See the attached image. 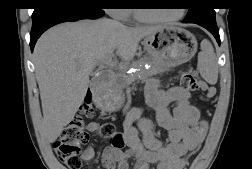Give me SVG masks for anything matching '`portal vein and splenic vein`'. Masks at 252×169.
I'll return each instance as SVG.
<instances>
[{"label":"portal vein and splenic vein","mask_w":252,"mask_h":169,"mask_svg":"<svg viewBox=\"0 0 252 169\" xmlns=\"http://www.w3.org/2000/svg\"><path fill=\"white\" fill-rule=\"evenodd\" d=\"M100 63H101V64L108 65V66H114V65H115V63H114L113 60H112V56H111V55L104 57V58L101 60Z\"/></svg>","instance_id":"18ae733b"}]
</instances>
